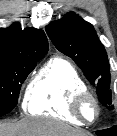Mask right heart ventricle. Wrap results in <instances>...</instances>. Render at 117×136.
Listing matches in <instances>:
<instances>
[{
	"label": "right heart ventricle",
	"mask_w": 117,
	"mask_h": 136,
	"mask_svg": "<svg viewBox=\"0 0 117 136\" xmlns=\"http://www.w3.org/2000/svg\"><path fill=\"white\" fill-rule=\"evenodd\" d=\"M87 86L76 67L62 57L50 58L31 79L24 110L34 116H49L82 125L70 112L73 97Z\"/></svg>",
	"instance_id": "e07e8e85"
}]
</instances>
